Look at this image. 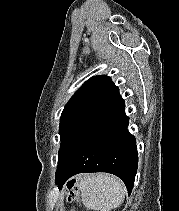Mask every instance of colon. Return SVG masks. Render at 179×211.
Returning a JSON list of instances; mask_svg holds the SVG:
<instances>
[{
	"label": "colon",
	"mask_w": 179,
	"mask_h": 211,
	"mask_svg": "<svg viewBox=\"0 0 179 211\" xmlns=\"http://www.w3.org/2000/svg\"><path fill=\"white\" fill-rule=\"evenodd\" d=\"M79 196V187L75 180H70L68 184V200L73 202L77 200Z\"/></svg>",
	"instance_id": "obj_1"
}]
</instances>
